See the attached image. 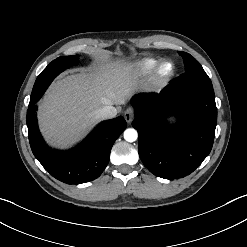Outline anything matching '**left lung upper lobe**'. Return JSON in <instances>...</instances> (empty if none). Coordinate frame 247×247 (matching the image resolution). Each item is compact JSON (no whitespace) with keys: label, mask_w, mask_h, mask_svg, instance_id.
Masks as SVG:
<instances>
[{"label":"left lung upper lobe","mask_w":247,"mask_h":247,"mask_svg":"<svg viewBox=\"0 0 247 247\" xmlns=\"http://www.w3.org/2000/svg\"><path fill=\"white\" fill-rule=\"evenodd\" d=\"M178 53L184 60L185 73L175 80L176 85L213 87L210 78L193 56L186 52Z\"/></svg>","instance_id":"5c2ea615"}]
</instances>
